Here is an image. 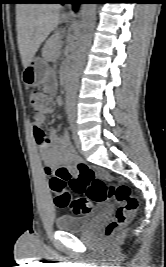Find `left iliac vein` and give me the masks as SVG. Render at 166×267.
Returning <instances> with one entry per match:
<instances>
[{
    "label": "left iliac vein",
    "mask_w": 166,
    "mask_h": 267,
    "mask_svg": "<svg viewBox=\"0 0 166 267\" xmlns=\"http://www.w3.org/2000/svg\"><path fill=\"white\" fill-rule=\"evenodd\" d=\"M73 139H74V142H75L77 149L81 150V141H80V138H79L78 134L76 133L75 129L73 132Z\"/></svg>",
    "instance_id": "left-iliac-vein-1"
}]
</instances>
